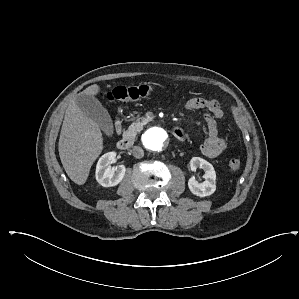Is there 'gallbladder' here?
Returning a JSON list of instances; mask_svg holds the SVG:
<instances>
[{
    "instance_id": "1",
    "label": "gallbladder",
    "mask_w": 299,
    "mask_h": 299,
    "mask_svg": "<svg viewBox=\"0 0 299 299\" xmlns=\"http://www.w3.org/2000/svg\"><path fill=\"white\" fill-rule=\"evenodd\" d=\"M75 102L79 108L105 132L112 129V120L108 111L97 98L91 95L80 93L75 97Z\"/></svg>"
}]
</instances>
